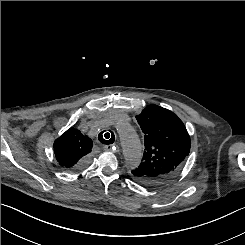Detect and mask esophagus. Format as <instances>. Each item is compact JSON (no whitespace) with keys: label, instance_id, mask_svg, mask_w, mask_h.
Returning a JSON list of instances; mask_svg holds the SVG:
<instances>
[{"label":"esophagus","instance_id":"1","mask_svg":"<svg viewBox=\"0 0 245 245\" xmlns=\"http://www.w3.org/2000/svg\"><path fill=\"white\" fill-rule=\"evenodd\" d=\"M104 150L105 151H112V149L114 148V146L113 145H104Z\"/></svg>","mask_w":245,"mask_h":245}]
</instances>
